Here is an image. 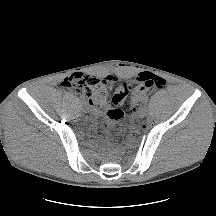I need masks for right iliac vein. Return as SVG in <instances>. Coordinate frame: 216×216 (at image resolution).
<instances>
[{
    "label": "right iliac vein",
    "instance_id": "63e3f726",
    "mask_svg": "<svg viewBox=\"0 0 216 216\" xmlns=\"http://www.w3.org/2000/svg\"><path fill=\"white\" fill-rule=\"evenodd\" d=\"M86 115H89L90 114V111L89 110H86L84 111Z\"/></svg>",
    "mask_w": 216,
    "mask_h": 216
}]
</instances>
